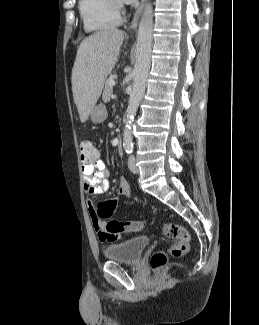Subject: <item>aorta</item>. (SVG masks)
Here are the masks:
<instances>
[{
	"label": "aorta",
	"mask_w": 259,
	"mask_h": 325,
	"mask_svg": "<svg viewBox=\"0 0 259 325\" xmlns=\"http://www.w3.org/2000/svg\"><path fill=\"white\" fill-rule=\"evenodd\" d=\"M152 41L153 7L152 4L148 2L139 23L136 46V63L134 67V81L126 110V123L123 133V140L128 149L132 146V127L134 118L146 89L151 64Z\"/></svg>",
	"instance_id": "762f6f07"
}]
</instances>
